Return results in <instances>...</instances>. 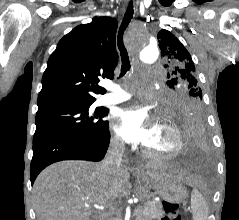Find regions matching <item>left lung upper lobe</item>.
I'll list each match as a JSON object with an SVG mask.
<instances>
[{
	"label": "left lung upper lobe",
	"mask_w": 239,
	"mask_h": 220,
	"mask_svg": "<svg viewBox=\"0 0 239 220\" xmlns=\"http://www.w3.org/2000/svg\"><path fill=\"white\" fill-rule=\"evenodd\" d=\"M157 38L164 67L167 70V110L175 116L185 108L202 107V90L198 83L192 58L183 44L169 31L162 29Z\"/></svg>",
	"instance_id": "1"
}]
</instances>
